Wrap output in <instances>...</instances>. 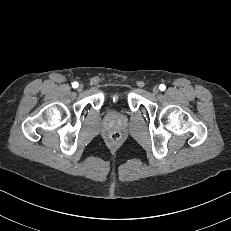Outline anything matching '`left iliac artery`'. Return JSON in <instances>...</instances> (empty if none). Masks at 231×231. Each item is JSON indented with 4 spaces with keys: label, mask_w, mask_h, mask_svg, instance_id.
<instances>
[{
    "label": "left iliac artery",
    "mask_w": 231,
    "mask_h": 231,
    "mask_svg": "<svg viewBox=\"0 0 231 231\" xmlns=\"http://www.w3.org/2000/svg\"><path fill=\"white\" fill-rule=\"evenodd\" d=\"M159 89H160L161 91H164V90L166 89V86H165L164 84H161V85L159 86Z\"/></svg>",
    "instance_id": "obj_1"
}]
</instances>
